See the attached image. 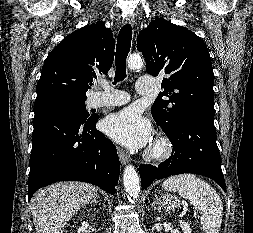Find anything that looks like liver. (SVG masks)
<instances>
[{
	"label": "liver",
	"mask_w": 253,
	"mask_h": 233,
	"mask_svg": "<svg viewBox=\"0 0 253 233\" xmlns=\"http://www.w3.org/2000/svg\"><path fill=\"white\" fill-rule=\"evenodd\" d=\"M96 196V187L82 182H58L36 192L30 205L36 233H63L72 217Z\"/></svg>",
	"instance_id": "obj_1"
}]
</instances>
